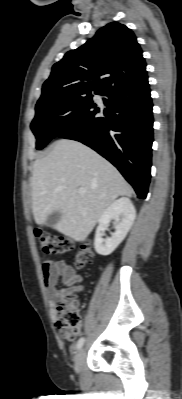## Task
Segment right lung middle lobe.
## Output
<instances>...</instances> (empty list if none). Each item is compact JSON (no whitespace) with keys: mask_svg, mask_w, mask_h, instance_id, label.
<instances>
[{"mask_svg":"<svg viewBox=\"0 0 182 399\" xmlns=\"http://www.w3.org/2000/svg\"><path fill=\"white\" fill-rule=\"evenodd\" d=\"M93 95H71L55 97L37 102L36 115L31 129L36 136V148L42 149L59 135L84 125L99 109Z\"/></svg>","mask_w":182,"mask_h":399,"instance_id":"right-lung-middle-lobe-1","label":"right lung middle lobe"}]
</instances>
